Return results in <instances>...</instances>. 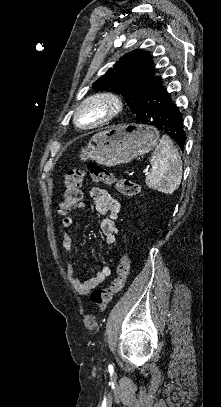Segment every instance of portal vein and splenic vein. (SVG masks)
<instances>
[{"label": "portal vein and splenic vein", "instance_id": "1", "mask_svg": "<svg viewBox=\"0 0 221 407\" xmlns=\"http://www.w3.org/2000/svg\"><path fill=\"white\" fill-rule=\"evenodd\" d=\"M143 173L146 175V174H148L149 172H148V169H144L143 170Z\"/></svg>", "mask_w": 221, "mask_h": 407}]
</instances>
